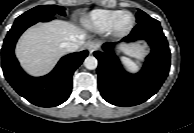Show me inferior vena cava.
I'll list each match as a JSON object with an SVG mask.
<instances>
[{
    "instance_id": "1",
    "label": "inferior vena cava",
    "mask_w": 194,
    "mask_h": 133,
    "mask_svg": "<svg viewBox=\"0 0 194 133\" xmlns=\"http://www.w3.org/2000/svg\"><path fill=\"white\" fill-rule=\"evenodd\" d=\"M62 47L66 52H74L78 49V45L74 42H64Z\"/></svg>"
}]
</instances>
